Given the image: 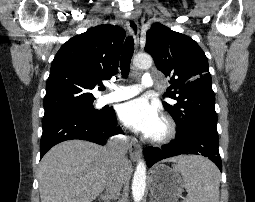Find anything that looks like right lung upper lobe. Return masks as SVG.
<instances>
[{
	"label": "right lung upper lobe",
	"mask_w": 255,
	"mask_h": 202,
	"mask_svg": "<svg viewBox=\"0 0 255 202\" xmlns=\"http://www.w3.org/2000/svg\"><path fill=\"white\" fill-rule=\"evenodd\" d=\"M125 31L99 25L70 38L55 55L46 84L45 115L93 103L90 90L117 71Z\"/></svg>",
	"instance_id": "1"
}]
</instances>
